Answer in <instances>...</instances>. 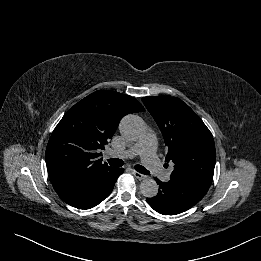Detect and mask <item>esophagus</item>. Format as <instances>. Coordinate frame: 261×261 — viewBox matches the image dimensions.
Here are the masks:
<instances>
[{"mask_svg":"<svg viewBox=\"0 0 261 261\" xmlns=\"http://www.w3.org/2000/svg\"><path fill=\"white\" fill-rule=\"evenodd\" d=\"M133 175H134L137 179H139V180H143V179H146V178H147L146 175H143V174H141V173H139V172H137V171H133Z\"/></svg>","mask_w":261,"mask_h":261,"instance_id":"esophagus-1","label":"esophagus"}]
</instances>
